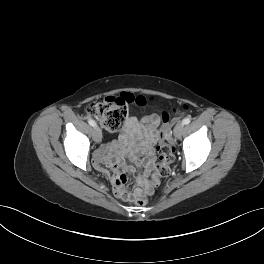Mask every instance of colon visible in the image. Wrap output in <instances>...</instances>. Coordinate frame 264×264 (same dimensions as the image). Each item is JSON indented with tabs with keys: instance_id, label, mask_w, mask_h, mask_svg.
I'll return each mask as SVG.
<instances>
[{
	"instance_id": "5ec220e1",
	"label": "colon",
	"mask_w": 264,
	"mask_h": 264,
	"mask_svg": "<svg viewBox=\"0 0 264 264\" xmlns=\"http://www.w3.org/2000/svg\"><path fill=\"white\" fill-rule=\"evenodd\" d=\"M145 104L146 100L142 96L122 93L119 96L108 97L102 102H91L88 104L86 111L90 117L98 120L106 130L116 131L124 124L130 107H143ZM169 119L168 113L163 112L161 114V121L164 126L169 122ZM157 150L159 161L155 167L153 181L145 185L144 190L140 187L144 184V180L126 185L125 191L120 193L123 199L133 200L138 206L147 205L148 195L153 193V186L158 183V179L167 177L170 174V164L175 158L174 148L168 144L163 131L159 133Z\"/></svg>"
}]
</instances>
